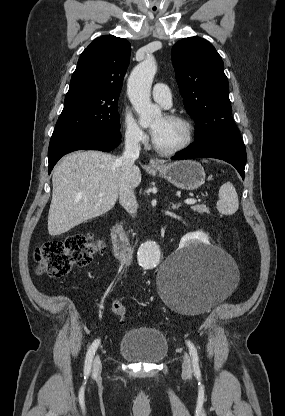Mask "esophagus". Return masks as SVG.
I'll list each match as a JSON object with an SVG mask.
<instances>
[{
	"instance_id": "esophagus-1",
	"label": "esophagus",
	"mask_w": 285,
	"mask_h": 416,
	"mask_svg": "<svg viewBox=\"0 0 285 416\" xmlns=\"http://www.w3.org/2000/svg\"><path fill=\"white\" fill-rule=\"evenodd\" d=\"M151 166L160 165L161 162L157 158H151L149 161Z\"/></svg>"
}]
</instances>
